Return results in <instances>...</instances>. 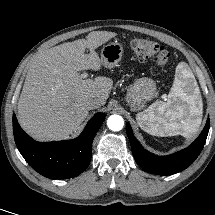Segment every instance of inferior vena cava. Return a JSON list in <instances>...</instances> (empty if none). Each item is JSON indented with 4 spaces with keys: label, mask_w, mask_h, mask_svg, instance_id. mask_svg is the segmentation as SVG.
<instances>
[{
    "label": "inferior vena cava",
    "mask_w": 215,
    "mask_h": 215,
    "mask_svg": "<svg viewBox=\"0 0 215 215\" xmlns=\"http://www.w3.org/2000/svg\"><path fill=\"white\" fill-rule=\"evenodd\" d=\"M89 109H96L103 105V102L100 98L92 97L89 98L86 102Z\"/></svg>",
    "instance_id": "1"
}]
</instances>
